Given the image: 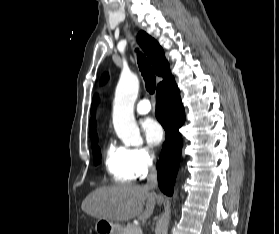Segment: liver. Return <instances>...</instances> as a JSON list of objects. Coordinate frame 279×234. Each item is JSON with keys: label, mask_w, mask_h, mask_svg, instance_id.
I'll return each instance as SVG.
<instances>
[{"label": "liver", "mask_w": 279, "mask_h": 234, "mask_svg": "<svg viewBox=\"0 0 279 234\" xmlns=\"http://www.w3.org/2000/svg\"><path fill=\"white\" fill-rule=\"evenodd\" d=\"M146 201V208L143 210ZM160 197L146 185H114L92 191L82 202L86 214L109 222L148 219Z\"/></svg>", "instance_id": "obj_1"}]
</instances>
